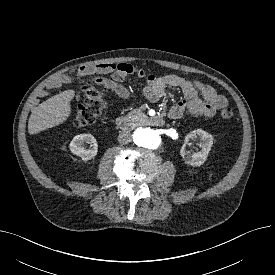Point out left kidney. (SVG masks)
Here are the masks:
<instances>
[{"label":"left kidney","mask_w":275,"mask_h":275,"mask_svg":"<svg viewBox=\"0 0 275 275\" xmlns=\"http://www.w3.org/2000/svg\"><path fill=\"white\" fill-rule=\"evenodd\" d=\"M196 138H199L201 140V143L199 145L200 151L190 152L186 150V145L188 144V142ZM212 145V135L202 129H197L185 136V141L180 150V154L186 164L191 166H201L206 161Z\"/></svg>","instance_id":"left-kidney-1"}]
</instances>
